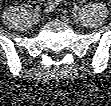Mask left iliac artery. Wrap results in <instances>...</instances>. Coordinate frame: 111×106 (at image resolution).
<instances>
[{
    "label": "left iliac artery",
    "instance_id": "obj_1",
    "mask_svg": "<svg viewBox=\"0 0 111 106\" xmlns=\"http://www.w3.org/2000/svg\"><path fill=\"white\" fill-rule=\"evenodd\" d=\"M74 10H75V11H78V10H79V7H78V6H74Z\"/></svg>",
    "mask_w": 111,
    "mask_h": 106
}]
</instances>
